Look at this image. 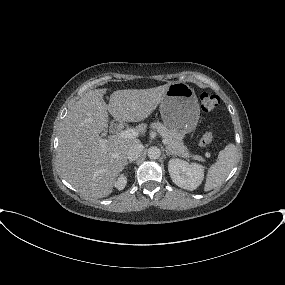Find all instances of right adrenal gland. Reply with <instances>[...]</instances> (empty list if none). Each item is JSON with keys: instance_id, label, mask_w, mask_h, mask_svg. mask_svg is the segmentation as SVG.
<instances>
[{"instance_id": "1", "label": "right adrenal gland", "mask_w": 285, "mask_h": 285, "mask_svg": "<svg viewBox=\"0 0 285 285\" xmlns=\"http://www.w3.org/2000/svg\"><path fill=\"white\" fill-rule=\"evenodd\" d=\"M133 161H128V162H126V165H128V164H130V163H132Z\"/></svg>"}]
</instances>
